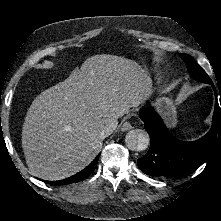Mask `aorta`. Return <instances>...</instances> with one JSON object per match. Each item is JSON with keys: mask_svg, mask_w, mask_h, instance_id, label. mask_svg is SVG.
<instances>
[{"mask_svg": "<svg viewBox=\"0 0 221 221\" xmlns=\"http://www.w3.org/2000/svg\"><path fill=\"white\" fill-rule=\"evenodd\" d=\"M150 142L148 133L142 129L131 130L126 134L125 143L131 150H145Z\"/></svg>", "mask_w": 221, "mask_h": 221, "instance_id": "762f6f07", "label": "aorta"}]
</instances>
